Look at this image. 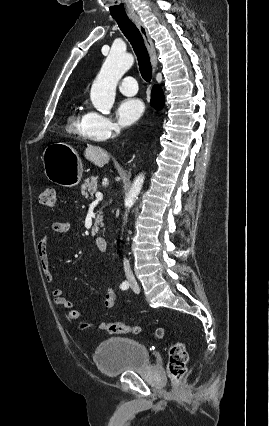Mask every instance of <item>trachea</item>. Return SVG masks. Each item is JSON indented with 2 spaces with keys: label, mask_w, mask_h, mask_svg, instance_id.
<instances>
[{
  "label": "trachea",
  "mask_w": 269,
  "mask_h": 426,
  "mask_svg": "<svg viewBox=\"0 0 269 426\" xmlns=\"http://www.w3.org/2000/svg\"><path fill=\"white\" fill-rule=\"evenodd\" d=\"M114 19L134 49V52L137 56L141 76L146 82H149L152 77V67L149 54L139 29L135 26L134 23L130 21L128 17Z\"/></svg>",
  "instance_id": "obj_1"
}]
</instances>
